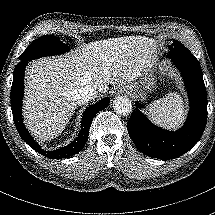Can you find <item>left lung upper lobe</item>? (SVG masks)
<instances>
[{
    "mask_svg": "<svg viewBox=\"0 0 215 215\" xmlns=\"http://www.w3.org/2000/svg\"><path fill=\"white\" fill-rule=\"evenodd\" d=\"M169 48H170L171 53H173V52L179 53V52H183V51H188L187 48H185L179 41H176V40H173V44H172V46H169Z\"/></svg>",
    "mask_w": 215,
    "mask_h": 215,
    "instance_id": "5c2ea615",
    "label": "left lung upper lobe"
}]
</instances>
